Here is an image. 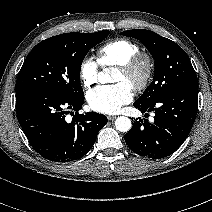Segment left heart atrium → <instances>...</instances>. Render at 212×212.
Wrapping results in <instances>:
<instances>
[{
  "mask_svg": "<svg viewBox=\"0 0 212 212\" xmlns=\"http://www.w3.org/2000/svg\"><path fill=\"white\" fill-rule=\"evenodd\" d=\"M86 98L92 110L112 114L132 100L133 91L130 84L122 81L113 85L97 86L87 92Z\"/></svg>",
  "mask_w": 212,
  "mask_h": 212,
  "instance_id": "39dd6f15",
  "label": "left heart atrium"
}]
</instances>
